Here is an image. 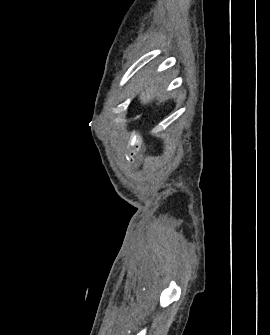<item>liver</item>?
I'll return each mask as SVG.
<instances>
[{
	"mask_svg": "<svg viewBox=\"0 0 270 335\" xmlns=\"http://www.w3.org/2000/svg\"><path fill=\"white\" fill-rule=\"evenodd\" d=\"M142 86L143 82H140L138 86H135V92H138V94H140V104H149L156 92L155 86H153V82H151L150 86H144L146 92H144V88H142Z\"/></svg>",
	"mask_w": 270,
	"mask_h": 335,
	"instance_id": "liver-1",
	"label": "liver"
}]
</instances>
